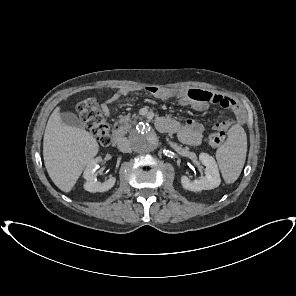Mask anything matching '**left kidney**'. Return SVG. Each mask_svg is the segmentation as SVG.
Masks as SVG:
<instances>
[{"instance_id": "obj_1", "label": "left kidney", "mask_w": 296, "mask_h": 296, "mask_svg": "<svg viewBox=\"0 0 296 296\" xmlns=\"http://www.w3.org/2000/svg\"><path fill=\"white\" fill-rule=\"evenodd\" d=\"M200 162L205 166V176L198 180L191 181L187 176L181 177V184L186 190L198 192L218 187L221 178L215 159L207 153H200Z\"/></svg>"}]
</instances>
